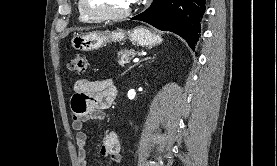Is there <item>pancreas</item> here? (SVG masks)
Masks as SVG:
<instances>
[{"label":"pancreas","mask_w":277,"mask_h":166,"mask_svg":"<svg viewBox=\"0 0 277 166\" xmlns=\"http://www.w3.org/2000/svg\"><path fill=\"white\" fill-rule=\"evenodd\" d=\"M138 52L133 49H123L118 52V64L124 66L130 63L132 57H134Z\"/></svg>","instance_id":"obj_1"}]
</instances>
